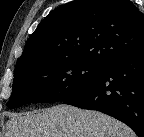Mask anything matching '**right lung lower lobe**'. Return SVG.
<instances>
[{"instance_id":"98d812e1","label":"right lung lower lobe","mask_w":144,"mask_h":137,"mask_svg":"<svg viewBox=\"0 0 144 137\" xmlns=\"http://www.w3.org/2000/svg\"><path fill=\"white\" fill-rule=\"evenodd\" d=\"M63 103L103 112L144 137V48L106 65L97 80Z\"/></svg>"}]
</instances>
